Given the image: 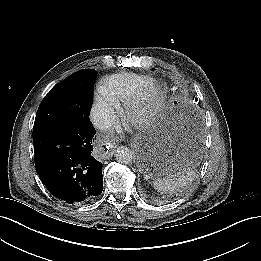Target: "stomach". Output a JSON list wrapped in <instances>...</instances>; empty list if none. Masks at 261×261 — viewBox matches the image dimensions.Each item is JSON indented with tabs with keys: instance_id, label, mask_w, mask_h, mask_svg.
Here are the masks:
<instances>
[{
	"instance_id": "0dacf381",
	"label": "stomach",
	"mask_w": 261,
	"mask_h": 261,
	"mask_svg": "<svg viewBox=\"0 0 261 261\" xmlns=\"http://www.w3.org/2000/svg\"><path fill=\"white\" fill-rule=\"evenodd\" d=\"M191 111L184 103L170 102L157 116L152 127L136 137V145L140 151V166L149 176L161 174L167 162L178 161L175 166H189L198 155L196 139L176 134L177 125L180 128ZM173 153V156L170 157Z\"/></svg>"
}]
</instances>
